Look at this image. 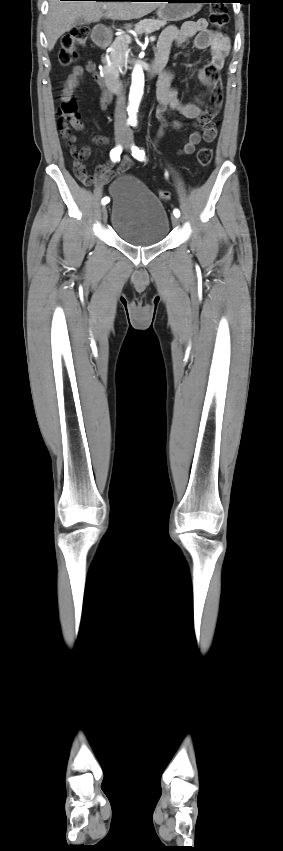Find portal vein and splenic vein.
Listing matches in <instances>:
<instances>
[{
	"label": "portal vein and splenic vein",
	"instance_id": "1",
	"mask_svg": "<svg viewBox=\"0 0 283 851\" xmlns=\"http://www.w3.org/2000/svg\"><path fill=\"white\" fill-rule=\"evenodd\" d=\"M126 38H127L128 41H130V36L127 35ZM149 39H150L151 42H153V41H155L156 38H155V36H151Z\"/></svg>",
	"mask_w": 283,
	"mask_h": 851
}]
</instances>
